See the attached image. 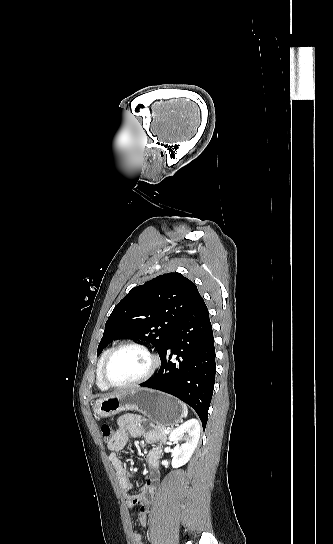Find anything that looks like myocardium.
Instances as JSON below:
<instances>
[{"label": "myocardium", "instance_id": "f54148a6", "mask_svg": "<svg viewBox=\"0 0 333 544\" xmlns=\"http://www.w3.org/2000/svg\"><path fill=\"white\" fill-rule=\"evenodd\" d=\"M125 348H134V349L140 350L143 353H145L146 356L149 359V367H148L147 371L141 377H139V378H137V379H135L133 381L127 382V383L115 384V383H113V382H111L109 380V378L107 376V369H108L109 363L112 360V358L114 357V355L118 351H120L122 349H125ZM159 365H160L159 357L146 345H144L142 343H139V342H132V341L124 342V343H121V344L117 345L113 349H111V351L106 356V358H105V360L103 362L102 368H101V378H102V381L104 382V384L106 386L110 387V388H115V389L129 388V387H133V386L142 384V383L146 382L147 380H149L153 376V374L156 372Z\"/></svg>", "mask_w": 333, "mask_h": 544}]
</instances>
